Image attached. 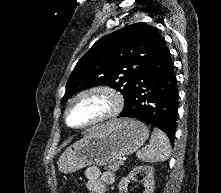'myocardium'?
<instances>
[{"label": "myocardium", "instance_id": "1", "mask_svg": "<svg viewBox=\"0 0 221 193\" xmlns=\"http://www.w3.org/2000/svg\"><path fill=\"white\" fill-rule=\"evenodd\" d=\"M90 97L102 100L101 111L83 124H71L69 115L73 106L81 99ZM122 108L123 97L118 90L108 85H94L80 90L69 100L65 108L64 120L66 125L72 129L86 130L115 118L121 112Z\"/></svg>", "mask_w": 221, "mask_h": 193}]
</instances>
